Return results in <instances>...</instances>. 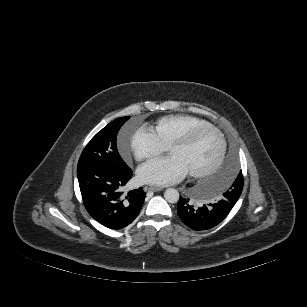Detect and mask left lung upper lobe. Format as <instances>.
I'll return each mask as SVG.
<instances>
[{"mask_svg": "<svg viewBox=\"0 0 307 307\" xmlns=\"http://www.w3.org/2000/svg\"><path fill=\"white\" fill-rule=\"evenodd\" d=\"M242 189H243V175L242 171H240L235 181L233 182L232 186L225 193L231 196L232 198L238 200L241 195Z\"/></svg>", "mask_w": 307, "mask_h": 307, "instance_id": "1", "label": "left lung upper lobe"}]
</instances>
